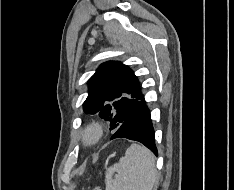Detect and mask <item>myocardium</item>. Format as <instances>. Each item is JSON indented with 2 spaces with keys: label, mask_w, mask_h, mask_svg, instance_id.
<instances>
[{
  "label": "myocardium",
  "mask_w": 234,
  "mask_h": 190,
  "mask_svg": "<svg viewBox=\"0 0 234 190\" xmlns=\"http://www.w3.org/2000/svg\"><path fill=\"white\" fill-rule=\"evenodd\" d=\"M103 135L102 125L98 122L89 124L82 133V138L85 144L94 145L99 142Z\"/></svg>",
  "instance_id": "f54148a6"
}]
</instances>
